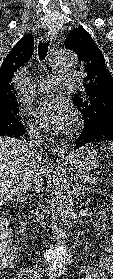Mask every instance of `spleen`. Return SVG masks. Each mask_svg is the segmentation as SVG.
Listing matches in <instances>:
<instances>
[{
  "label": "spleen",
  "mask_w": 113,
  "mask_h": 279,
  "mask_svg": "<svg viewBox=\"0 0 113 279\" xmlns=\"http://www.w3.org/2000/svg\"><path fill=\"white\" fill-rule=\"evenodd\" d=\"M111 147H113V143H110Z\"/></svg>",
  "instance_id": "obj_1"
}]
</instances>
